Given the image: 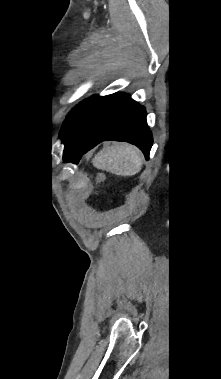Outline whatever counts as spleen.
Segmentation results:
<instances>
[{"mask_svg": "<svg viewBox=\"0 0 221 379\" xmlns=\"http://www.w3.org/2000/svg\"><path fill=\"white\" fill-rule=\"evenodd\" d=\"M92 163L98 169L118 176H132L141 170L142 154L131 144L114 143L103 148Z\"/></svg>", "mask_w": 221, "mask_h": 379, "instance_id": "3e777b00", "label": "spleen"}]
</instances>
